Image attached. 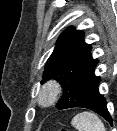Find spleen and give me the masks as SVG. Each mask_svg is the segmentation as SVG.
Segmentation results:
<instances>
[{"label":"spleen","mask_w":117,"mask_h":131,"mask_svg":"<svg viewBox=\"0 0 117 131\" xmlns=\"http://www.w3.org/2000/svg\"><path fill=\"white\" fill-rule=\"evenodd\" d=\"M71 124L77 131H105L100 118L92 112H82L72 118Z\"/></svg>","instance_id":"spleen-1"}]
</instances>
